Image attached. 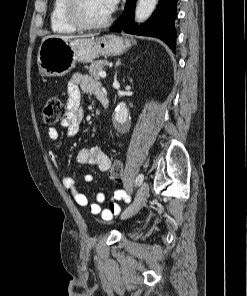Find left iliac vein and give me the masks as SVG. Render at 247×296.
<instances>
[{
  "label": "left iliac vein",
  "instance_id": "left-iliac-vein-1",
  "mask_svg": "<svg viewBox=\"0 0 247 296\" xmlns=\"http://www.w3.org/2000/svg\"><path fill=\"white\" fill-rule=\"evenodd\" d=\"M148 195H149V185L148 183L144 182L140 186L136 194L134 203L129 208L124 210L123 213L121 214V219H127L134 216L145 204L148 198Z\"/></svg>",
  "mask_w": 247,
  "mask_h": 296
}]
</instances>
